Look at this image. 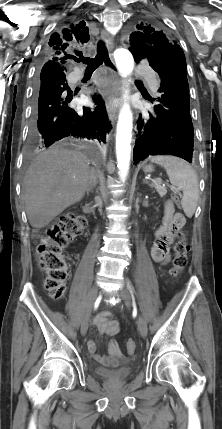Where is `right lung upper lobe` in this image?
I'll use <instances>...</instances> for the list:
<instances>
[{"label": "right lung upper lobe", "instance_id": "obj_1", "mask_svg": "<svg viewBox=\"0 0 222 429\" xmlns=\"http://www.w3.org/2000/svg\"><path fill=\"white\" fill-rule=\"evenodd\" d=\"M89 38L87 28L82 29L79 26L65 28L51 36L49 46L44 51V60L66 65V60L72 57L70 53L77 54L78 46L86 43Z\"/></svg>", "mask_w": 222, "mask_h": 429}]
</instances>
